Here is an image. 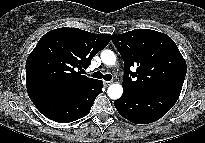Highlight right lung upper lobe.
<instances>
[{"label":"right lung upper lobe","instance_id":"obj_1","mask_svg":"<svg viewBox=\"0 0 205 143\" xmlns=\"http://www.w3.org/2000/svg\"><path fill=\"white\" fill-rule=\"evenodd\" d=\"M110 40V34H94L79 28L49 31L27 58L28 92H69L94 83L96 80L82 75V71Z\"/></svg>","mask_w":205,"mask_h":143}]
</instances>
